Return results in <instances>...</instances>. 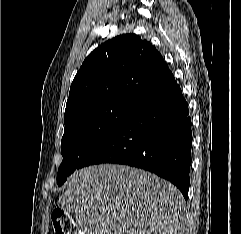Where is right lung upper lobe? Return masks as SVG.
I'll use <instances>...</instances> for the list:
<instances>
[{"label": "right lung upper lobe", "mask_w": 241, "mask_h": 234, "mask_svg": "<svg viewBox=\"0 0 241 234\" xmlns=\"http://www.w3.org/2000/svg\"><path fill=\"white\" fill-rule=\"evenodd\" d=\"M171 74L150 42L135 34L117 36L84 60L71 84L64 116L108 101L135 104Z\"/></svg>", "instance_id": "1"}]
</instances>
